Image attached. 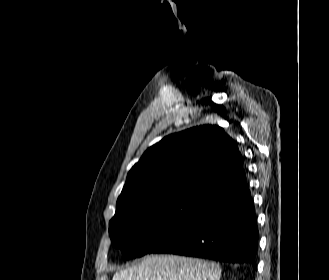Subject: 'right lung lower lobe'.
<instances>
[{"mask_svg":"<svg viewBox=\"0 0 329 280\" xmlns=\"http://www.w3.org/2000/svg\"><path fill=\"white\" fill-rule=\"evenodd\" d=\"M258 230L242 168L216 183L182 224L150 253L255 264Z\"/></svg>","mask_w":329,"mask_h":280,"instance_id":"obj_1","label":"right lung lower lobe"}]
</instances>
